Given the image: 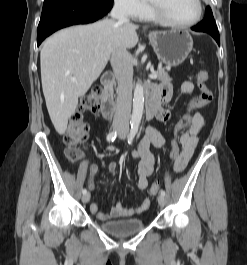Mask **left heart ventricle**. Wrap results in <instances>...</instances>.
<instances>
[{
    "mask_svg": "<svg viewBox=\"0 0 247 265\" xmlns=\"http://www.w3.org/2000/svg\"><path fill=\"white\" fill-rule=\"evenodd\" d=\"M160 4L167 16L175 22L185 23L194 19L198 12L197 0H152Z\"/></svg>",
    "mask_w": 247,
    "mask_h": 265,
    "instance_id": "left-heart-ventricle-1",
    "label": "left heart ventricle"
}]
</instances>
